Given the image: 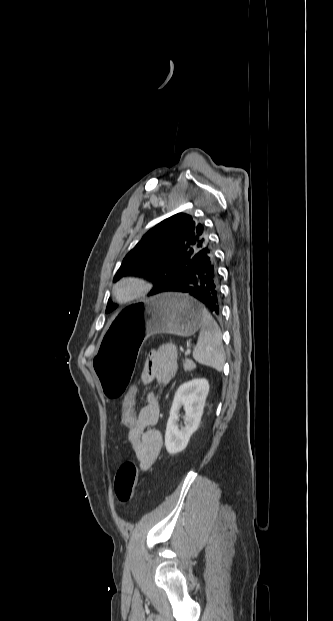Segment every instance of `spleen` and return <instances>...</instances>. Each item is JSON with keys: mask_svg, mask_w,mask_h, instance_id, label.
<instances>
[{"mask_svg": "<svg viewBox=\"0 0 333 621\" xmlns=\"http://www.w3.org/2000/svg\"><path fill=\"white\" fill-rule=\"evenodd\" d=\"M193 358L199 364L210 366L219 372L224 366L225 357L221 330L207 310L202 320Z\"/></svg>", "mask_w": 333, "mask_h": 621, "instance_id": "1", "label": "spleen"}]
</instances>
